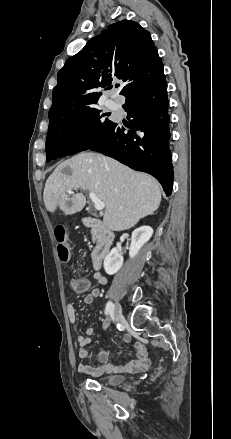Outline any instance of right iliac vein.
I'll use <instances>...</instances> for the list:
<instances>
[{
	"label": "right iliac vein",
	"mask_w": 231,
	"mask_h": 439,
	"mask_svg": "<svg viewBox=\"0 0 231 439\" xmlns=\"http://www.w3.org/2000/svg\"><path fill=\"white\" fill-rule=\"evenodd\" d=\"M113 317L116 322H119L122 319V308L118 302L114 305Z\"/></svg>",
	"instance_id": "obj_1"
}]
</instances>
